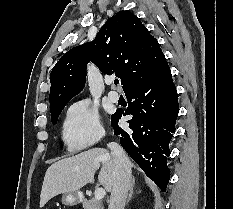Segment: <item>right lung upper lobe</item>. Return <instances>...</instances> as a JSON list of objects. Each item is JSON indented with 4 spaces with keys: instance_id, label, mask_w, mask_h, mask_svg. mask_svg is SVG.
Wrapping results in <instances>:
<instances>
[{
    "instance_id": "obj_1",
    "label": "right lung upper lobe",
    "mask_w": 233,
    "mask_h": 209,
    "mask_svg": "<svg viewBox=\"0 0 233 209\" xmlns=\"http://www.w3.org/2000/svg\"><path fill=\"white\" fill-rule=\"evenodd\" d=\"M89 61L102 73H115L124 92L155 77L167 65L158 41L139 18L120 11L102 26L93 42L70 49L51 71V112L66 105L85 85Z\"/></svg>"
}]
</instances>
